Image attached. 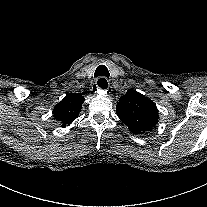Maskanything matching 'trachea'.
<instances>
[{"mask_svg":"<svg viewBox=\"0 0 207 207\" xmlns=\"http://www.w3.org/2000/svg\"><path fill=\"white\" fill-rule=\"evenodd\" d=\"M95 76H106L109 77V71L106 66L100 65L95 70ZM98 86L102 89H107L108 83H101L100 81L97 82Z\"/></svg>","mask_w":207,"mask_h":207,"instance_id":"1","label":"trachea"}]
</instances>
